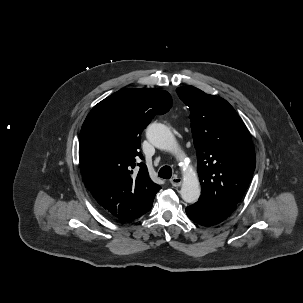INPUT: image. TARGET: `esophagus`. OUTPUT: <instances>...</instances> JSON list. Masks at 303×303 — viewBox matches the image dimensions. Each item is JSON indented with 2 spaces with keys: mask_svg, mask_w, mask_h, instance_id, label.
Listing matches in <instances>:
<instances>
[{
  "mask_svg": "<svg viewBox=\"0 0 303 303\" xmlns=\"http://www.w3.org/2000/svg\"><path fill=\"white\" fill-rule=\"evenodd\" d=\"M170 183L174 187H179L182 184V179L178 176H174L170 179Z\"/></svg>",
  "mask_w": 303,
  "mask_h": 303,
  "instance_id": "1",
  "label": "esophagus"
}]
</instances>
